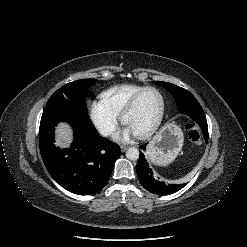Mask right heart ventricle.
Instances as JSON below:
<instances>
[{"label": "right heart ventricle", "mask_w": 247, "mask_h": 247, "mask_svg": "<svg viewBox=\"0 0 247 247\" xmlns=\"http://www.w3.org/2000/svg\"><path fill=\"white\" fill-rule=\"evenodd\" d=\"M143 88L145 87L135 84L114 86L101 93V101L119 116L131 98Z\"/></svg>", "instance_id": "1"}]
</instances>
